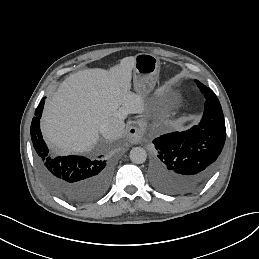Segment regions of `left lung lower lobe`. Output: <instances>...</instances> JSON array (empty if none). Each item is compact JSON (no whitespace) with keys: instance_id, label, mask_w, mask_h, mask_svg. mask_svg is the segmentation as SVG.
Returning <instances> with one entry per match:
<instances>
[{"instance_id":"0a47b994","label":"left lung lower lobe","mask_w":259,"mask_h":259,"mask_svg":"<svg viewBox=\"0 0 259 259\" xmlns=\"http://www.w3.org/2000/svg\"><path fill=\"white\" fill-rule=\"evenodd\" d=\"M201 91L206 102L199 125L187 131L164 134L153 140L157 151L150 176L152 184L162 192H193L218 167L226 138L224 115L214 92L209 88Z\"/></svg>"}]
</instances>
